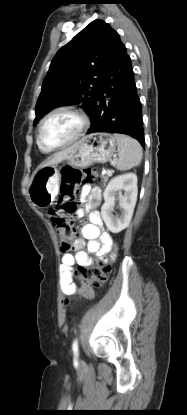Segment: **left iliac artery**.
I'll list each match as a JSON object with an SVG mask.
<instances>
[{"label": "left iliac artery", "instance_id": "44dca946", "mask_svg": "<svg viewBox=\"0 0 187 415\" xmlns=\"http://www.w3.org/2000/svg\"><path fill=\"white\" fill-rule=\"evenodd\" d=\"M72 350L75 354H78V340L75 339L72 345Z\"/></svg>", "mask_w": 187, "mask_h": 415}]
</instances>
